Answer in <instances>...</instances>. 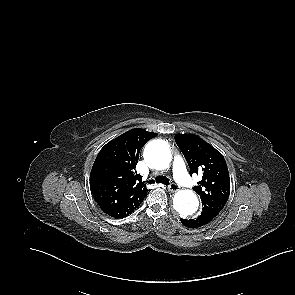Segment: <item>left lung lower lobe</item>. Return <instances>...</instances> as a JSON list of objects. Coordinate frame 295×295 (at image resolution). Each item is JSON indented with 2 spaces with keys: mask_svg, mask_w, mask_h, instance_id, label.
Returning <instances> with one entry per match:
<instances>
[{
  "mask_svg": "<svg viewBox=\"0 0 295 295\" xmlns=\"http://www.w3.org/2000/svg\"><path fill=\"white\" fill-rule=\"evenodd\" d=\"M219 212L202 211L201 215L195 219H181V223L189 228L201 227L210 222Z\"/></svg>",
  "mask_w": 295,
  "mask_h": 295,
  "instance_id": "left-lung-lower-lobe-1",
  "label": "left lung lower lobe"
}]
</instances>
